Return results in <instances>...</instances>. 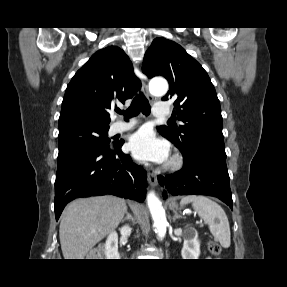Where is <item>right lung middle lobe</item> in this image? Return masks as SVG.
Segmentation results:
<instances>
[{
  "mask_svg": "<svg viewBox=\"0 0 287 287\" xmlns=\"http://www.w3.org/2000/svg\"><path fill=\"white\" fill-rule=\"evenodd\" d=\"M109 125L90 122H76L59 127V151L72 146H89L98 149H109ZM117 142H113L115 145Z\"/></svg>",
  "mask_w": 287,
  "mask_h": 287,
  "instance_id": "obj_1",
  "label": "right lung middle lobe"
}]
</instances>
